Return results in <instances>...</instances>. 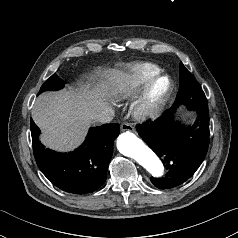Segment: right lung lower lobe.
I'll return each mask as SVG.
<instances>
[{
  "mask_svg": "<svg viewBox=\"0 0 238 238\" xmlns=\"http://www.w3.org/2000/svg\"><path fill=\"white\" fill-rule=\"evenodd\" d=\"M117 123L92 127L82 147L75 153H54L40 143L39 128L31 123L36 163L46 178L59 189L87 194L99 189L106 180L113 142L119 134Z\"/></svg>",
  "mask_w": 238,
  "mask_h": 238,
  "instance_id": "1",
  "label": "right lung lower lobe"
}]
</instances>
